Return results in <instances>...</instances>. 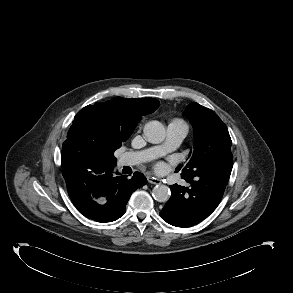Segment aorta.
<instances>
[{
    "mask_svg": "<svg viewBox=\"0 0 293 293\" xmlns=\"http://www.w3.org/2000/svg\"><path fill=\"white\" fill-rule=\"evenodd\" d=\"M143 133L147 141L158 144L161 143L166 136L164 125L156 120L148 122L143 129ZM170 189L166 185H156L152 190L153 198L158 202H166L170 198Z\"/></svg>",
    "mask_w": 293,
    "mask_h": 293,
    "instance_id": "aorta-1",
    "label": "aorta"
}]
</instances>
